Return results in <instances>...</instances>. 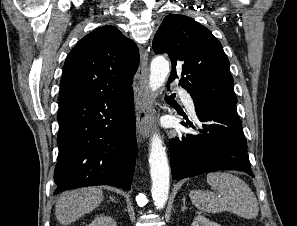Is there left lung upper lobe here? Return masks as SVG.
I'll return each mask as SVG.
<instances>
[{
    "label": "left lung upper lobe",
    "instance_id": "5c2ea615",
    "mask_svg": "<svg viewBox=\"0 0 297 226\" xmlns=\"http://www.w3.org/2000/svg\"><path fill=\"white\" fill-rule=\"evenodd\" d=\"M153 50L169 55V81L180 77L179 83L190 93L194 104L236 105L229 60L221 43L206 27L187 16L168 15L154 37Z\"/></svg>",
    "mask_w": 297,
    "mask_h": 226
}]
</instances>
